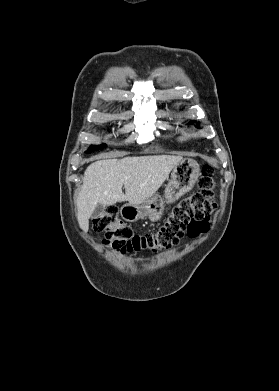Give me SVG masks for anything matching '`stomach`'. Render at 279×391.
Returning <instances> with one entry per match:
<instances>
[{"instance_id": "1", "label": "stomach", "mask_w": 279, "mask_h": 391, "mask_svg": "<svg viewBox=\"0 0 279 391\" xmlns=\"http://www.w3.org/2000/svg\"><path fill=\"white\" fill-rule=\"evenodd\" d=\"M199 176V164L193 159H182L173 167L163 197L154 194L142 204L132 205L129 203L123 205L120 210L122 218L128 222H135L143 218H148L152 222L158 221L163 214L165 205L177 201L189 192Z\"/></svg>"}]
</instances>
